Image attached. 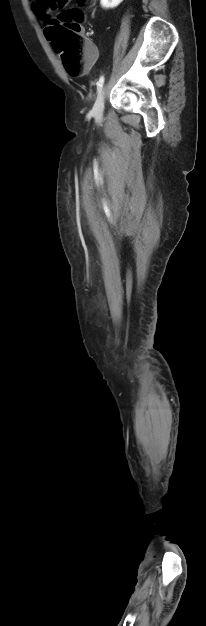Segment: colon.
<instances>
[{
	"label": "colon",
	"mask_w": 206,
	"mask_h": 626,
	"mask_svg": "<svg viewBox=\"0 0 206 626\" xmlns=\"http://www.w3.org/2000/svg\"><path fill=\"white\" fill-rule=\"evenodd\" d=\"M70 0H42L44 9H64ZM95 0H76L77 7L61 15L53 23L50 33L52 46L60 54L63 64L70 75H80L85 68L84 40L81 35V23L84 20L82 8L91 7Z\"/></svg>",
	"instance_id": "colon-1"
}]
</instances>
